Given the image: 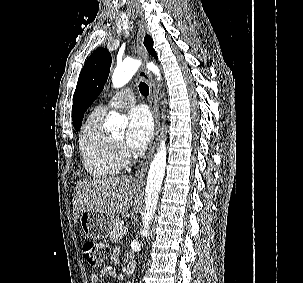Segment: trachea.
Instances as JSON below:
<instances>
[{"instance_id": "1", "label": "trachea", "mask_w": 303, "mask_h": 283, "mask_svg": "<svg viewBox=\"0 0 303 283\" xmlns=\"http://www.w3.org/2000/svg\"><path fill=\"white\" fill-rule=\"evenodd\" d=\"M139 91L143 96H148L149 94V87L146 83L140 82L139 84Z\"/></svg>"}]
</instances>
